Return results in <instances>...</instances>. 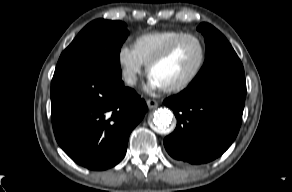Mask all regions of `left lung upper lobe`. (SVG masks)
<instances>
[{
  "instance_id": "left-lung-upper-lobe-1",
  "label": "left lung upper lobe",
  "mask_w": 292,
  "mask_h": 192,
  "mask_svg": "<svg viewBox=\"0 0 292 192\" xmlns=\"http://www.w3.org/2000/svg\"><path fill=\"white\" fill-rule=\"evenodd\" d=\"M206 45V60L189 85L222 77H245L243 65L225 36L208 23L198 28Z\"/></svg>"
}]
</instances>
